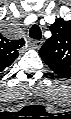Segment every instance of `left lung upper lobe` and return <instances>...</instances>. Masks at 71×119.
Wrapping results in <instances>:
<instances>
[{
  "mask_svg": "<svg viewBox=\"0 0 71 119\" xmlns=\"http://www.w3.org/2000/svg\"><path fill=\"white\" fill-rule=\"evenodd\" d=\"M52 36L39 54L49 68L61 77L71 76V21L56 19L50 26Z\"/></svg>",
  "mask_w": 71,
  "mask_h": 119,
  "instance_id": "5c2ea615",
  "label": "left lung upper lobe"
}]
</instances>
